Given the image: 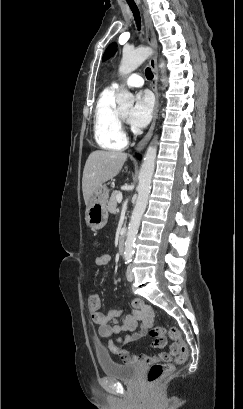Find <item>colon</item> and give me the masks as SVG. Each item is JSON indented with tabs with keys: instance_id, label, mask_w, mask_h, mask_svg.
I'll list each match as a JSON object with an SVG mask.
<instances>
[{
	"instance_id": "obj_1",
	"label": "colon",
	"mask_w": 243,
	"mask_h": 409,
	"mask_svg": "<svg viewBox=\"0 0 243 409\" xmlns=\"http://www.w3.org/2000/svg\"><path fill=\"white\" fill-rule=\"evenodd\" d=\"M89 307L92 311L97 312L100 309V299L96 296L89 298ZM150 333L159 341L166 338V330L162 327L152 328ZM169 338L177 342L175 361L182 363L188 355V347L183 341L179 330L171 327L168 331ZM174 370V364L170 362L153 363L147 373V381L152 385H158L164 378L170 375Z\"/></svg>"
}]
</instances>
